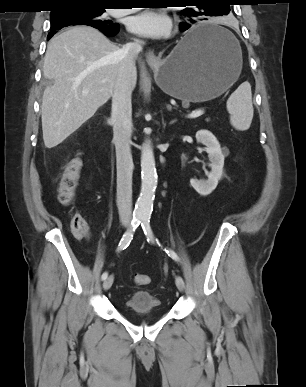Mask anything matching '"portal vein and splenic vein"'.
Masks as SVG:
<instances>
[{"instance_id":"obj_1","label":"portal vein and splenic vein","mask_w":306,"mask_h":387,"mask_svg":"<svg viewBox=\"0 0 306 387\" xmlns=\"http://www.w3.org/2000/svg\"><path fill=\"white\" fill-rule=\"evenodd\" d=\"M82 93H83L84 95L87 94V93H88V89H84V90L82 91ZM203 113H204V110H198V111L192 112V113H191L190 115H188L187 117L193 119V118H197V117L201 116Z\"/></svg>"}]
</instances>
